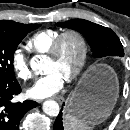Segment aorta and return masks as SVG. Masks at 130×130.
Returning <instances> with one entry per match:
<instances>
[{
    "mask_svg": "<svg viewBox=\"0 0 130 130\" xmlns=\"http://www.w3.org/2000/svg\"><path fill=\"white\" fill-rule=\"evenodd\" d=\"M30 66L32 70L36 73H45L44 59L41 56H34L30 60ZM43 111L49 116H57L59 114L60 108L56 101L46 100L43 103Z\"/></svg>",
    "mask_w": 130,
    "mask_h": 130,
    "instance_id": "762f6f07",
    "label": "aorta"
}]
</instances>
